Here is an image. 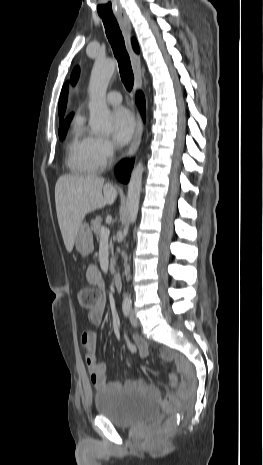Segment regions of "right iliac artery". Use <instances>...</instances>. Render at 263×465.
I'll use <instances>...</instances> for the list:
<instances>
[{
    "label": "right iliac artery",
    "mask_w": 263,
    "mask_h": 465,
    "mask_svg": "<svg viewBox=\"0 0 263 465\" xmlns=\"http://www.w3.org/2000/svg\"><path fill=\"white\" fill-rule=\"evenodd\" d=\"M123 314L125 317L129 316L130 310H131V302H124L123 303Z\"/></svg>",
    "instance_id": "82829eb1"
}]
</instances>
